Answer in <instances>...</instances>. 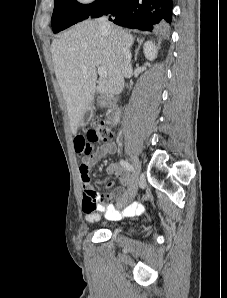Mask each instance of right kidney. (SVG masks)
Instances as JSON below:
<instances>
[{"mask_svg":"<svg viewBox=\"0 0 227 298\" xmlns=\"http://www.w3.org/2000/svg\"><path fill=\"white\" fill-rule=\"evenodd\" d=\"M143 50L147 60L153 61L157 57V47L152 41H147Z\"/></svg>","mask_w":227,"mask_h":298,"instance_id":"ca27d5eb","label":"right kidney"}]
</instances>
